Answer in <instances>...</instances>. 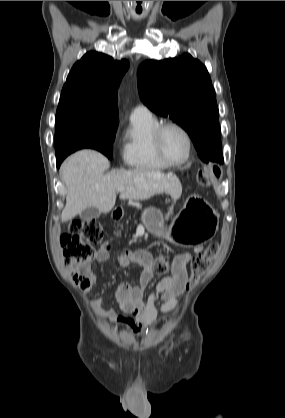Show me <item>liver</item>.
<instances>
[{
    "instance_id": "1",
    "label": "liver",
    "mask_w": 285,
    "mask_h": 418,
    "mask_svg": "<svg viewBox=\"0 0 285 418\" xmlns=\"http://www.w3.org/2000/svg\"><path fill=\"white\" fill-rule=\"evenodd\" d=\"M108 159L94 150H81L67 158L60 168V176L67 188L62 222L72 220L88 207L109 213L115 206L118 188L120 199L146 200L158 193L179 199L182 186L172 173L137 168L117 169L104 174Z\"/></svg>"
}]
</instances>
